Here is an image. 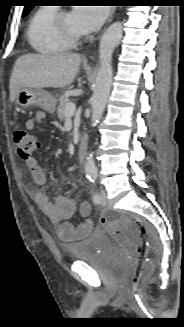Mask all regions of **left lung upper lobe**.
<instances>
[{
    "label": "left lung upper lobe",
    "instance_id": "left-lung-upper-lobe-1",
    "mask_svg": "<svg viewBox=\"0 0 184 327\" xmlns=\"http://www.w3.org/2000/svg\"><path fill=\"white\" fill-rule=\"evenodd\" d=\"M32 8H33V5L27 4L24 7V11H23V15L22 16L25 17L31 11Z\"/></svg>",
    "mask_w": 184,
    "mask_h": 327
}]
</instances>
